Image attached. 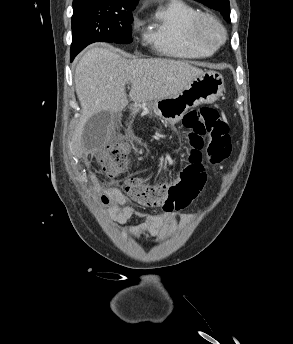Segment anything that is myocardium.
<instances>
[{
  "mask_svg": "<svg viewBox=\"0 0 293 344\" xmlns=\"http://www.w3.org/2000/svg\"><path fill=\"white\" fill-rule=\"evenodd\" d=\"M212 27L217 31V37L210 41L206 36V29ZM193 35L196 41L211 50H217L222 46L227 38V32L223 24L217 17L209 13H201L193 25Z\"/></svg>",
  "mask_w": 293,
  "mask_h": 344,
  "instance_id": "obj_1",
  "label": "myocardium"
}]
</instances>
